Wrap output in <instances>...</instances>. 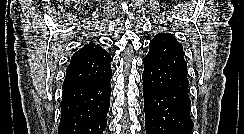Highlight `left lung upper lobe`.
I'll return each instance as SVG.
<instances>
[{"label":"left lung upper lobe","mask_w":244,"mask_h":134,"mask_svg":"<svg viewBox=\"0 0 244 134\" xmlns=\"http://www.w3.org/2000/svg\"><path fill=\"white\" fill-rule=\"evenodd\" d=\"M150 50L143 59L144 71L166 88H188L187 63L183 47L169 33H158L150 41Z\"/></svg>","instance_id":"obj_1"}]
</instances>
